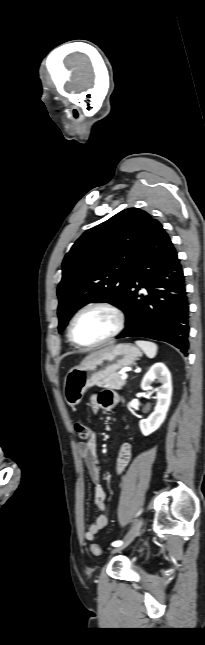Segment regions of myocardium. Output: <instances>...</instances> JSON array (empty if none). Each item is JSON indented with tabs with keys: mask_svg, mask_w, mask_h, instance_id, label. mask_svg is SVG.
I'll list each match as a JSON object with an SVG mask.
<instances>
[{
	"mask_svg": "<svg viewBox=\"0 0 205 645\" xmlns=\"http://www.w3.org/2000/svg\"><path fill=\"white\" fill-rule=\"evenodd\" d=\"M89 309H102V310H105V311L109 312L114 318V326H113L112 330L110 331V333L108 335H106L104 338H102V339H100V340H98L96 342H92V343H82V342H79L78 340H76V338L74 336V324H75L77 318L83 312H85V311H87ZM124 324H125V317H124V314H123L122 310L118 306H116V305H114V304H112L110 302H106V301H92V302H89V303L83 305L82 307H80L75 312V314L73 315V317L71 318V321L69 323L68 336H69V339L71 340V342L73 344L79 346V347H82V348H94V347L101 346V345L109 342L113 338H115L123 330Z\"/></svg>",
	"mask_w": 205,
	"mask_h": 645,
	"instance_id": "myocardium-1",
	"label": "myocardium"
}]
</instances>
